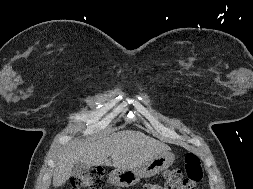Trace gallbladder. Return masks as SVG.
<instances>
[{
	"mask_svg": "<svg viewBox=\"0 0 253 189\" xmlns=\"http://www.w3.org/2000/svg\"><path fill=\"white\" fill-rule=\"evenodd\" d=\"M89 170V166L84 163H77L74 165L72 170L73 176H80L81 174L86 173Z\"/></svg>",
	"mask_w": 253,
	"mask_h": 189,
	"instance_id": "1",
	"label": "gallbladder"
}]
</instances>
